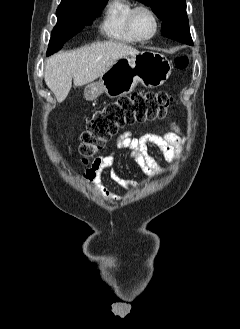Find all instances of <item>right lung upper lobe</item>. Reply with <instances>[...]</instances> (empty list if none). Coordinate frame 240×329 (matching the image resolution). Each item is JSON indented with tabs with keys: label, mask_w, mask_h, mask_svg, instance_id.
Masks as SVG:
<instances>
[{
	"label": "right lung upper lobe",
	"mask_w": 240,
	"mask_h": 329,
	"mask_svg": "<svg viewBox=\"0 0 240 329\" xmlns=\"http://www.w3.org/2000/svg\"><path fill=\"white\" fill-rule=\"evenodd\" d=\"M88 1H93V0H62L61 4H70L75 2H88Z\"/></svg>",
	"instance_id": "1"
}]
</instances>
